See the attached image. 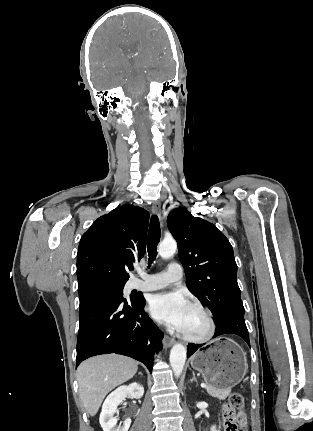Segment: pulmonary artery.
Segmentation results:
<instances>
[{"label": "pulmonary artery", "mask_w": 313, "mask_h": 431, "mask_svg": "<svg viewBox=\"0 0 313 431\" xmlns=\"http://www.w3.org/2000/svg\"><path fill=\"white\" fill-rule=\"evenodd\" d=\"M182 267L176 262L169 264L166 271L152 275H142V280H134L132 288L142 291L158 290L170 285H177L182 280Z\"/></svg>", "instance_id": "1"}]
</instances>
